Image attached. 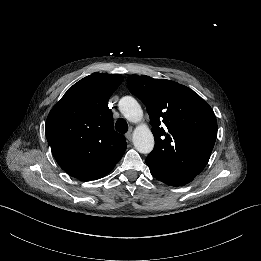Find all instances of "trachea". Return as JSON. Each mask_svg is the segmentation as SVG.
<instances>
[{
	"mask_svg": "<svg viewBox=\"0 0 261 261\" xmlns=\"http://www.w3.org/2000/svg\"><path fill=\"white\" fill-rule=\"evenodd\" d=\"M115 129L124 134L128 131V123L124 119H118L116 124H115Z\"/></svg>",
	"mask_w": 261,
	"mask_h": 261,
	"instance_id": "3493384b",
	"label": "trachea"
}]
</instances>
